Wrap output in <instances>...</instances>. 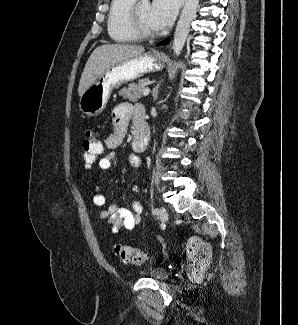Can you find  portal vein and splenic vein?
<instances>
[{"mask_svg": "<svg viewBox=\"0 0 298 325\" xmlns=\"http://www.w3.org/2000/svg\"><path fill=\"white\" fill-rule=\"evenodd\" d=\"M149 92H151V88L146 86V88H143L142 96H148Z\"/></svg>", "mask_w": 298, "mask_h": 325, "instance_id": "portal-vein-and-splenic-vein-1", "label": "portal vein and splenic vein"}]
</instances>
